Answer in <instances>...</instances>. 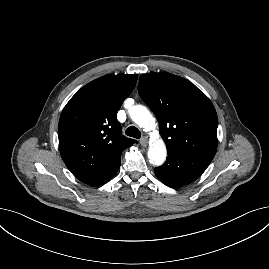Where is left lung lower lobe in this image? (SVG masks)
Segmentation results:
<instances>
[{"instance_id": "1", "label": "left lung lower lobe", "mask_w": 269, "mask_h": 269, "mask_svg": "<svg viewBox=\"0 0 269 269\" xmlns=\"http://www.w3.org/2000/svg\"><path fill=\"white\" fill-rule=\"evenodd\" d=\"M213 157L183 150H168L167 161L154 172L169 187H180L195 181L211 163Z\"/></svg>"}]
</instances>
